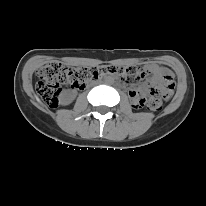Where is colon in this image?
I'll use <instances>...</instances> for the list:
<instances>
[{
  "instance_id": "colon-1",
  "label": "colon",
  "mask_w": 206,
  "mask_h": 206,
  "mask_svg": "<svg viewBox=\"0 0 206 206\" xmlns=\"http://www.w3.org/2000/svg\"><path fill=\"white\" fill-rule=\"evenodd\" d=\"M103 73H114L127 79H136L143 77L146 72L136 67L73 68L52 62L37 71L36 90L48 106L55 107L62 85L83 88L87 82L98 78ZM174 86L172 76H165L158 84L150 86L148 95L138 96L137 106L155 111L160 110L162 101L171 96Z\"/></svg>"
}]
</instances>
